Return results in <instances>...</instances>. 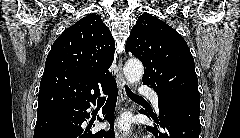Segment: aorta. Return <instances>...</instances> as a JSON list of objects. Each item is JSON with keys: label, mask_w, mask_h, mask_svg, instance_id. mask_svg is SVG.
Here are the masks:
<instances>
[{"label": "aorta", "mask_w": 240, "mask_h": 138, "mask_svg": "<svg viewBox=\"0 0 240 138\" xmlns=\"http://www.w3.org/2000/svg\"><path fill=\"white\" fill-rule=\"evenodd\" d=\"M144 69L142 63L137 59H129L124 66V75L130 84L138 83L143 76Z\"/></svg>", "instance_id": "aorta-1"}]
</instances>
